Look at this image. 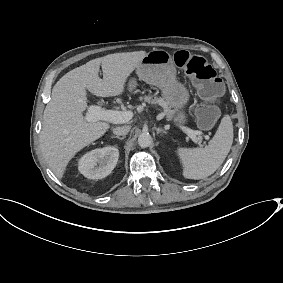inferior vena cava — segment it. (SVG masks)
<instances>
[{
	"mask_svg": "<svg viewBox=\"0 0 283 283\" xmlns=\"http://www.w3.org/2000/svg\"><path fill=\"white\" fill-rule=\"evenodd\" d=\"M130 131V126H118L113 129V133L117 135H127Z\"/></svg>",
	"mask_w": 283,
	"mask_h": 283,
	"instance_id": "obj_1",
	"label": "inferior vena cava"
}]
</instances>
